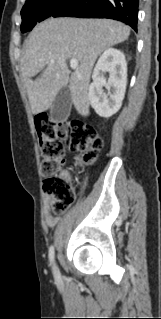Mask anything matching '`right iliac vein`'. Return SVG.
I'll use <instances>...</instances> for the list:
<instances>
[{"mask_svg": "<svg viewBox=\"0 0 161 319\" xmlns=\"http://www.w3.org/2000/svg\"><path fill=\"white\" fill-rule=\"evenodd\" d=\"M53 273H54V275L57 277V276H59V269H58V267H57V265L54 263V265H53Z\"/></svg>", "mask_w": 161, "mask_h": 319, "instance_id": "1", "label": "right iliac vein"}]
</instances>
